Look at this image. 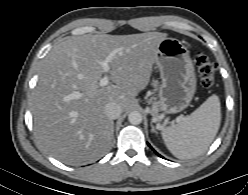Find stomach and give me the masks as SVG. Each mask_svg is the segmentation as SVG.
Returning <instances> with one entry per match:
<instances>
[{"label": "stomach", "mask_w": 248, "mask_h": 195, "mask_svg": "<svg viewBox=\"0 0 248 195\" xmlns=\"http://www.w3.org/2000/svg\"><path fill=\"white\" fill-rule=\"evenodd\" d=\"M160 71L159 111L177 113L187 108L196 90V75L187 48L175 38H165L157 48L156 61Z\"/></svg>", "instance_id": "stomach-1"}]
</instances>
